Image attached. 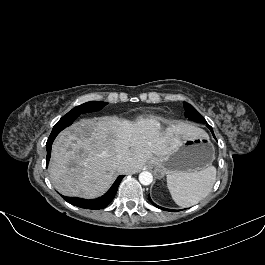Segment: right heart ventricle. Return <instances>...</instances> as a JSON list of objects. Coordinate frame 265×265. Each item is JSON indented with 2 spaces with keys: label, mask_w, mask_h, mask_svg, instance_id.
<instances>
[{
  "label": "right heart ventricle",
  "mask_w": 265,
  "mask_h": 265,
  "mask_svg": "<svg viewBox=\"0 0 265 265\" xmlns=\"http://www.w3.org/2000/svg\"><path fill=\"white\" fill-rule=\"evenodd\" d=\"M157 119L160 121H164V118H162V117H158Z\"/></svg>",
  "instance_id": "1"
}]
</instances>
